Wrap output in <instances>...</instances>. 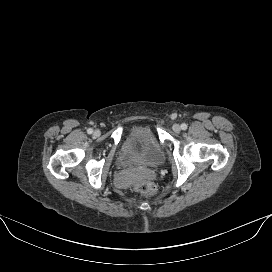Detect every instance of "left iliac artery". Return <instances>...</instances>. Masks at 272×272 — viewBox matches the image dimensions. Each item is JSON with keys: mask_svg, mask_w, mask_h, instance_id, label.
I'll return each mask as SVG.
<instances>
[{"mask_svg": "<svg viewBox=\"0 0 272 272\" xmlns=\"http://www.w3.org/2000/svg\"><path fill=\"white\" fill-rule=\"evenodd\" d=\"M181 128H182V130H186L187 129V124H185V123L181 124Z\"/></svg>", "mask_w": 272, "mask_h": 272, "instance_id": "obj_1", "label": "left iliac artery"}]
</instances>
